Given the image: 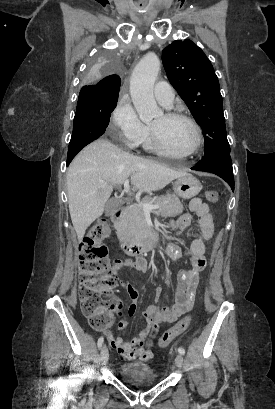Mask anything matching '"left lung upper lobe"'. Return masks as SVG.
Segmentation results:
<instances>
[{"instance_id": "5c2ea615", "label": "left lung upper lobe", "mask_w": 275, "mask_h": 409, "mask_svg": "<svg viewBox=\"0 0 275 409\" xmlns=\"http://www.w3.org/2000/svg\"><path fill=\"white\" fill-rule=\"evenodd\" d=\"M167 77L204 132V154L230 150L219 81L210 60L190 40H176L163 50Z\"/></svg>"}]
</instances>
